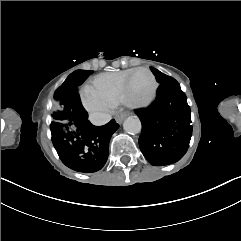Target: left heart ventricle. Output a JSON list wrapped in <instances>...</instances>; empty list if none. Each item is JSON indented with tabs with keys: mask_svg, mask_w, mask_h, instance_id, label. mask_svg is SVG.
<instances>
[{
	"mask_svg": "<svg viewBox=\"0 0 241 241\" xmlns=\"http://www.w3.org/2000/svg\"><path fill=\"white\" fill-rule=\"evenodd\" d=\"M153 91L151 81L147 77L136 76L129 87V105L135 107L142 102L149 101L153 96Z\"/></svg>",
	"mask_w": 241,
	"mask_h": 241,
	"instance_id": "obj_1",
	"label": "left heart ventricle"
}]
</instances>
